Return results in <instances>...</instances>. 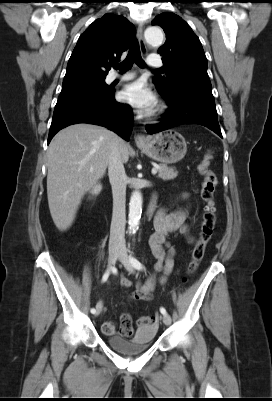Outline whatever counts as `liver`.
I'll return each instance as SVG.
<instances>
[{"instance_id":"obj_1","label":"liver","mask_w":272,"mask_h":401,"mask_svg":"<svg viewBox=\"0 0 272 401\" xmlns=\"http://www.w3.org/2000/svg\"><path fill=\"white\" fill-rule=\"evenodd\" d=\"M114 142L126 163L129 145L104 127L71 125L51 141L47 152V197L51 217L59 230L72 225L85 192L105 175Z\"/></svg>"}]
</instances>
